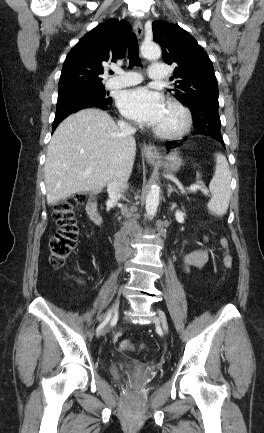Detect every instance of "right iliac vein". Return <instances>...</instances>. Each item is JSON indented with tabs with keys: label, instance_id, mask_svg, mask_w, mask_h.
<instances>
[{
	"label": "right iliac vein",
	"instance_id": "obj_1",
	"mask_svg": "<svg viewBox=\"0 0 264 433\" xmlns=\"http://www.w3.org/2000/svg\"><path fill=\"white\" fill-rule=\"evenodd\" d=\"M120 302V295H118V297L116 298L114 304L112 305V308L110 309V319L115 318V316L118 313V305ZM108 331V325H106L105 327H103V329L100 331V335H105Z\"/></svg>",
	"mask_w": 264,
	"mask_h": 433
}]
</instances>
